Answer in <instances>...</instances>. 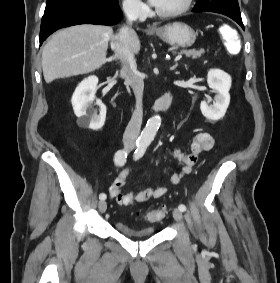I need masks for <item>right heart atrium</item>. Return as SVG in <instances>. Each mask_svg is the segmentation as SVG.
Returning <instances> with one entry per match:
<instances>
[{
	"label": "right heart atrium",
	"mask_w": 280,
	"mask_h": 283,
	"mask_svg": "<svg viewBox=\"0 0 280 283\" xmlns=\"http://www.w3.org/2000/svg\"><path fill=\"white\" fill-rule=\"evenodd\" d=\"M122 8L125 13L134 17H140L146 11V6L140 0H123Z\"/></svg>",
	"instance_id": "right-heart-atrium-1"
}]
</instances>
